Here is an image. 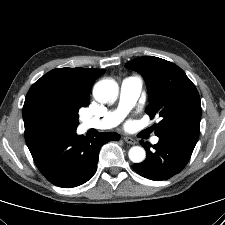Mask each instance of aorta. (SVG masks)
I'll return each mask as SVG.
<instances>
[{
    "instance_id": "1",
    "label": "aorta",
    "mask_w": 225,
    "mask_h": 225,
    "mask_svg": "<svg viewBox=\"0 0 225 225\" xmlns=\"http://www.w3.org/2000/svg\"><path fill=\"white\" fill-rule=\"evenodd\" d=\"M118 92V84L112 79L99 81L93 89L94 97L100 103L114 102L117 99ZM128 155L133 163H141L146 157V152L140 146H133L130 148Z\"/></svg>"
}]
</instances>
